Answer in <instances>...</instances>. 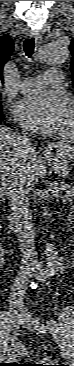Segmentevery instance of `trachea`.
Wrapping results in <instances>:
<instances>
[{
	"instance_id": "3493384b",
	"label": "trachea",
	"mask_w": 74,
	"mask_h": 366,
	"mask_svg": "<svg viewBox=\"0 0 74 366\" xmlns=\"http://www.w3.org/2000/svg\"><path fill=\"white\" fill-rule=\"evenodd\" d=\"M23 48L26 56L30 58L34 53L35 48L34 38H26L23 42Z\"/></svg>"
}]
</instances>
